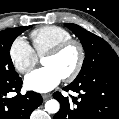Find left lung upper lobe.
<instances>
[{"instance_id":"5c2ea615","label":"left lung upper lobe","mask_w":119,"mask_h":119,"mask_svg":"<svg viewBox=\"0 0 119 119\" xmlns=\"http://www.w3.org/2000/svg\"><path fill=\"white\" fill-rule=\"evenodd\" d=\"M80 39L86 52L80 73L74 81L87 80L97 73L119 69V58L102 38L76 24H65Z\"/></svg>"}]
</instances>
